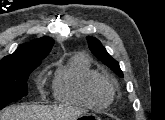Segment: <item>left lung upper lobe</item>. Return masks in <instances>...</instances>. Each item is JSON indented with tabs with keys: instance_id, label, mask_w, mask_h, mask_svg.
Instances as JSON below:
<instances>
[{
	"instance_id": "5c2ea615",
	"label": "left lung upper lobe",
	"mask_w": 165,
	"mask_h": 120,
	"mask_svg": "<svg viewBox=\"0 0 165 120\" xmlns=\"http://www.w3.org/2000/svg\"><path fill=\"white\" fill-rule=\"evenodd\" d=\"M88 46L92 53L111 70H113L118 76L123 77V73L119 67V63L113 59L102 46L99 40L92 37H87Z\"/></svg>"
}]
</instances>
